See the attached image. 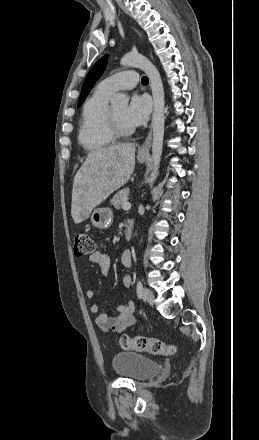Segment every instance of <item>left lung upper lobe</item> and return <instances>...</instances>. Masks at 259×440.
I'll use <instances>...</instances> for the list:
<instances>
[{"label": "left lung upper lobe", "instance_id": "1", "mask_svg": "<svg viewBox=\"0 0 259 440\" xmlns=\"http://www.w3.org/2000/svg\"><path fill=\"white\" fill-rule=\"evenodd\" d=\"M107 59L108 56H104L101 59H99L94 66L89 71L88 75L85 78V81L82 86L81 95L78 101V107L81 106L87 95L89 94L92 86L95 84V82L101 77L103 74L106 66H107Z\"/></svg>", "mask_w": 259, "mask_h": 440}]
</instances>
